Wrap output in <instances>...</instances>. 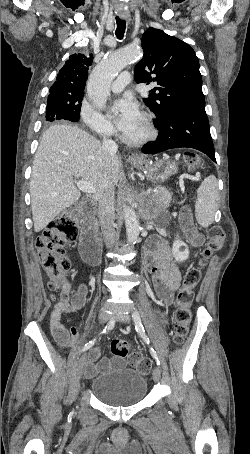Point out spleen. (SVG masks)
Segmentation results:
<instances>
[{
    "mask_svg": "<svg viewBox=\"0 0 250 454\" xmlns=\"http://www.w3.org/2000/svg\"><path fill=\"white\" fill-rule=\"evenodd\" d=\"M218 183L214 176L204 179L197 189V201L195 204V217L200 226L207 228L214 221L218 207Z\"/></svg>",
    "mask_w": 250,
    "mask_h": 454,
    "instance_id": "3e777b00",
    "label": "spleen"
}]
</instances>
